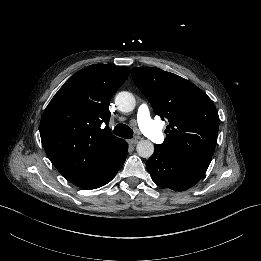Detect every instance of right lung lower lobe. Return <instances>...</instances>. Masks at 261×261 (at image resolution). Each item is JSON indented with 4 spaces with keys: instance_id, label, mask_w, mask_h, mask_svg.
Wrapping results in <instances>:
<instances>
[{
    "instance_id": "1",
    "label": "right lung lower lobe",
    "mask_w": 261,
    "mask_h": 261,
    "mask_svg": "<svg viewBox=\"0 0 261 261\" xmlns=\"http://www.w3.org/2000/svg\"><path fill=\"white\" fill-rule=\"evenodd\" d=\"M128 151V144L123 147L109 159L98 170L72 181L74 185L83 189H95L107 184L123 166Z\"/></svg>"
}]
</instances>
